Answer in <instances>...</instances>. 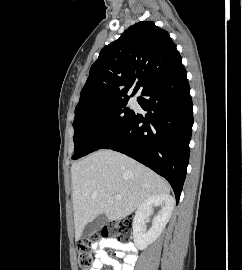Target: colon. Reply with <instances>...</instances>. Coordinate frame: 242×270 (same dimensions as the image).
<instances>
[{"label":"colon","mask_w":242,"mask_h":270,"mask_svg":"<svg viewBox=\"0 0 242 270\" xmlns=\"http://www.w3.org/2000/svg\"><path fill=\"white\" fill-rule=\"evenodd\" d=\"M131 231L132 221L129 219H124L111 222L110 224L105 226L100 232H95L89 238L83 239L77 247L79 269H92V249L95 244L104 239H129L131 236Z\"/></svg>","instance_id":"colon-1"}]
</instances>
